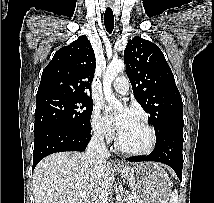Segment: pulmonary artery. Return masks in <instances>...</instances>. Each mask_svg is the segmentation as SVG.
<instances>
[{
    "mask_svg": "<svg viewBox=\"0 0 214 203\" xmlns=\"http://www.w3.org/2000/svg\"><path fill=\"white\" fill-rule=\"evenodd\" d=\"M113 88L120 94H127L129 90V80L125 76H119L114 80Z\"/></svg>",
    "mask_w": 214,
    "mask_h": 203,
    "instance_id": "e3ab8cb5",
    "label": "pulmonary artery"
}]
</instances>
